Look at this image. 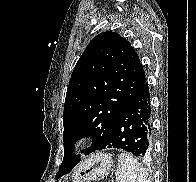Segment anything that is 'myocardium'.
<instances>
[{"mask_svg":"<svg viewBox=\"0 0 196 182\" xmlns=\"http://www.w3.org/2000/svg\"><path fill=\"white\" fill-rule=\"evenodd\" d=\"M85 144V138L84 137H78L75 141H74V147L76 149H81Z\"/></svg>","mask_w":196,"mask_h":182,"instance_id":"obj_1","label":"myocardium"}]
</instances>
